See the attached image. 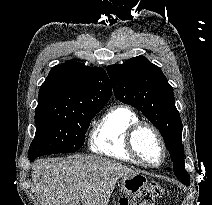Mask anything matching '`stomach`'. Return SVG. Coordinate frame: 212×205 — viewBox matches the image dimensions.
Wrapping results in <instances>:
<instances>
[{
    "mask_svg": "<svg viewBox=\"0 0 212 205\" xmlns=\"http://www.w3.org/2000/svg\"><path fill=\"white\" fill-rule=\"evenodd\" d=\"M147 178L142 174H130L123 176L120 181V190L127 196H132L141 191L146 186Z\"/></svg>",
    "mask_w": 212,
    "mask_h": 205,
    "instance_id": "1",
    "label": "stomach"
}]
</instances>
